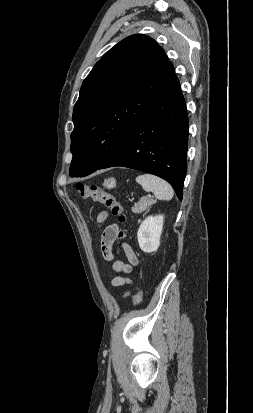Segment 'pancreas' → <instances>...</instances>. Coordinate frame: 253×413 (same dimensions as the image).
<instances>
[{"label":"pancreas","mask_w":253,"mask_h":413,"mask_svg":"<svg viewBox=\"0 0 253 413\" xmlns=\"http://www.w3.org/2000/svg\"><path fill=\"white\" fill-rule=\"evenodd\" d=\"M155 201L153 199H150L148 197H143L141 200L137 203L134 204V207H132V212L135 214H140L143 211H145L147 208H149L151 205H153Z\"/></svg>","instance_id":"obj_1"}]
</instances>
